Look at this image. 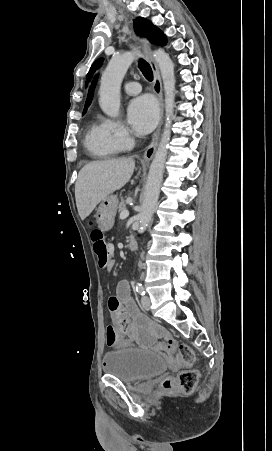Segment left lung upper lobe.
I'll return each instance as SVG.
<instances>
[{"label":"left lung upper lobe","instance_id":"5c2ea615","mask_svg":"<svg viewBox=\"0 0 272 451\" xmlns=\"http://www.w3.org/2000/svg\"><path fill=\"white\" fill-rule=\"evenodd\" d=\"M134 29L136 33L147 38L153 44L163 46L167 42L164 33L145 18L137 17L134 20ZM102 61L103 59H98L93 63L89 73L87 74V81L90 80L93 72L102 64Z\"/></svg>","mask_w":272,"mask_h":451}]
</instances>
